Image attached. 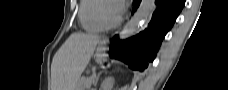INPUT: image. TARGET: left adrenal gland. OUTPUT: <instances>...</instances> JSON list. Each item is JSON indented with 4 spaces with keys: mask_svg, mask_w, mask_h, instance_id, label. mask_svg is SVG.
Returning <instances> with one entry per match:
<instances>
[{
    "mask_svg": "<svg viewBox=\"0 0 228 90\" xmlns=\"http://www.w3.org/2000/svg\"><path fill=\"white\" fill-rule=\"evenodd\" d=\"M100 74H101V72L96 76V78L93 80V84H94V86H96L97 85V83H98V80H99V77H100Z\"/></svg>",
    "mask_w": 228,
    "mask_h": 90,
    "instance_id": "obj_1",
    "label": "left adrenal gland"
}]
</instances>
